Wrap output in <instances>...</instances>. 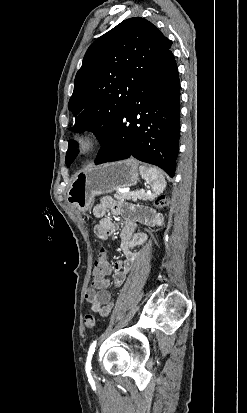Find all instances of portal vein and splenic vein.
<instances>
[{
  "mask_svg": "<svg viewBox=\"0 0 247 413\" xmlns=\"http://www.w3.org/2000/svg\"><path fill=\"white\" fill-rule=\"evenodd\" d=\"M142 192H144V188H141Z\"/></svg>",
  "mask_w": 247,
  "mask_h": 413,
  "instance_id": "portal-vein-and-splenic-vein-1",
  "label": "portal vein and splenic vein"
}]
</instances>
